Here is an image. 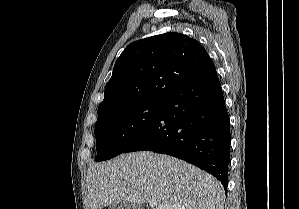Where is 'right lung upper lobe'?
I'll use <instances>...</instances> for the list:
<instances>
[{"label":"right lung upper lobe","mask_w":299,"mask_h":209,"mask_svg":"<svg viewBox=\"0 0 299 209\" xmlns=\"http://www.w3.org/2000/svg\"><path fill=\"white\" fill-rule=\"evenodd\" d=\"M198 41L177 32L128 45L117 59L98 114L136 102H165L187 79L214 70Z\"/></svg>","instance_id":"1"}]
</instances>
